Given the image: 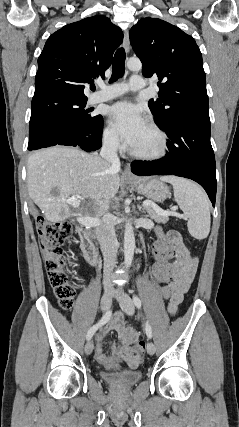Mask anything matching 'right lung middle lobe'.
<instances>
[{
    "mask_svg": "<svg viewBox=\"0 0 239 427\" xmlns=\"http://www.w3.org/2000/svg\"><path fill=\"white\" fill-rule=\"evenodd\" d=\"M87 99L52 95L32 99L29 124V144L33 147L49 129L68 126L77 133L88 130L100 115L91 116L85 110Z\"/></svg>",
    "mask_w": 239,
    "mask_h": 427,
    "instance_id": "right-lung-middle-lobe-1",
    "label": "right lung middle lobe"
}]
</instances>
